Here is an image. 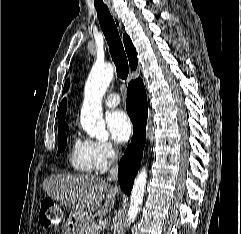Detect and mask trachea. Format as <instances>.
<instances>
[{"instance_id": "1", "label": "trachea", "mask_w": 241, "mask_h": 234, "mask_svg": "<svg viewBox=\"0 0 241 234\" xmlns=\"http://www.w3.org/2000/svg\"><path fill=\"white\" fill-rule=\"evenodd\" d=\"M95 6L97 9V16L101 29L105 35L112 60L116 66L117 76L122 81H126L129 73L128 60L118 33V29L108 7L103 3V1L95 0Z\"/></svg>"}]
</instances>
